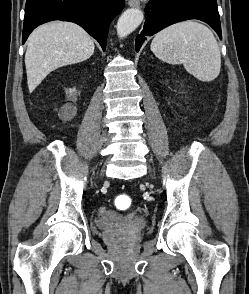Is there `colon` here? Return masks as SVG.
<instances>
[{"label":"colon","mask_w":249,"mask_h":294,"mask_svg":"<svg viewBox=\"0 0 249 294\" xmlns=\"http://www.w3.org/2000/svg\"><path fill=\"white\" fill-rule=\"evenodd\" d=\"M115 203L117 207L127 209L132 205V200L126 195H120L116 198Z\"/></svg>","instance_id":"colon-1"}]
</instances>
